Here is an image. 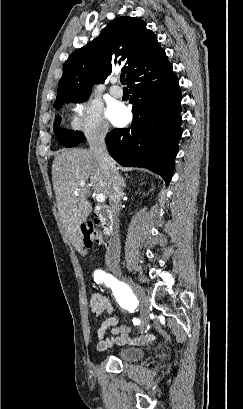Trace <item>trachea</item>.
Returning <instances> with one entry per match:
<instances>
[{"mask_svg": "<svg viewBox=\"0 0 243 409\" xmlns=\"http://www.w3.org/2000/svg\"><path fill=\"white\" fill-rule=\"evenodd\" d=\"M120 82H121L123 85H125V82H126L125 75H121V77H120Z\"/></svg>", "mask_w": 243, "mask_h": 409, "instance_id": "obj_1", "label": "trachea"}]
</instances>
